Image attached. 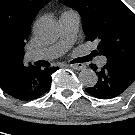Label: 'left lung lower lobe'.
I'll list each match as a JSON object with an SVG mask.
<instances>
[{
  "label": "left lung lower lobe",
  "mask_w": 135,
  "mask_h": 135,
  "mask_svg": "<svg viewBox=\"0 0 135 135\" xmlns=\"http://www.w3.org/2000/svg\"><path fill=\"white\" fill-rule=\"evenodd\" d=\"M98 75L97 83L86 88L87 93L99 99H111L122 94L135 80V73L107 63L104 67L90 64Z\"/></svg>",
  "instance_id": "1"
}]
</instances>
